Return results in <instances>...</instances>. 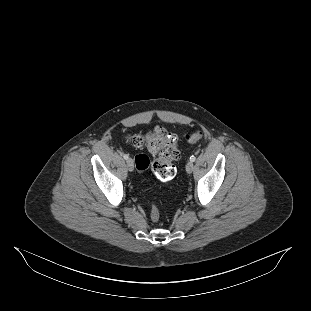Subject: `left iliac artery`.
I'll return each mask as SVG.
<instances>
[{
	"instance_id": "1",
	"label": "left iliac artery",
	"mask_w": 311,
	"mask_h": 311,
	"mask_svg": "<svg viewBox=\"0 0 311 311\" xmlns=\"http://www.w3.org/2000/svg\"><path fill=\"white\" fill-rule=\"evenodd\" d=\"M195 160H196V157L192 155V156L190 157V161H191V162H194Z\"/></svg>"
}]
</instances>
